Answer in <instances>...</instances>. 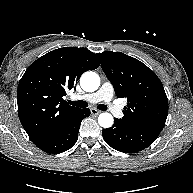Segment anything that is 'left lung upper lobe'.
Segmentation results:
<instances>
[{
  "label": "left lung upper lobe",
  "instance_id": "1",
  "mask_svg": "<svg viewBox=\"0 0 193 193\" xmlns=\"http://www.w3.org/2000/svg\"><path fill=\"white\" fill-rule=\"evenodd\" d=\"M118 98H127L124 117L129 127L165 125L168 99L157 75L141 61L121 52L96 54Z\"/></svg>",
  "mask_w": 193,
  "mask_h": 193
}]
</instances>
